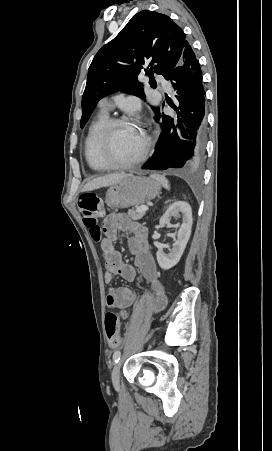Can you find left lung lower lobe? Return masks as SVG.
Wrapping results in <instances>:
<instances>
[{"mask_svg":"<svg viewBox=\"0 0 272 451\" xmlns=\"http://www.w3.org/2000/svg\"><path fill=\"white\" fill-rule=\"evenodd\" d=\"M171 80L179 102L178 119L164 114L156 120L162 126L161 143L156 146L155 157L142 168L166 170L190 169L202 164L205 156L206 98L202 71L196 55L188 43L178 65L167 80Z\"/></svg>","mask_w":272,"mask_h":451,"instance_id":"left-lung-lower-lobe-1","label":"left lung lower lobe"}]
</instances>
